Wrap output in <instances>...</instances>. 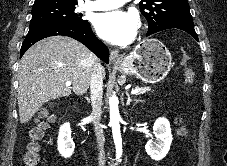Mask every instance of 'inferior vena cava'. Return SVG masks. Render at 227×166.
I'll return each mask as SVG.
<instances>
[{"instance_id": "1", "label": "inferior vena cava", "mask_w": 227, "mask_h": 166, "mask_svg": "<svg viewBox=\"0 0 227 166\" xmlns=\"http://www.w3.org/2000/svg\"><path fill=\"white\" fill-rule=\"evenodd\" d=\"M104 76H105V71L103 66L100 63H97L94 67L91 80H90V94H91L92 114L94 117L95 133H96L97 142L100 148L99 166L105 165V155L103 150V144L105 139L103 136V129L99 123L101 119Z\"/></svg>"}]
</instances>
